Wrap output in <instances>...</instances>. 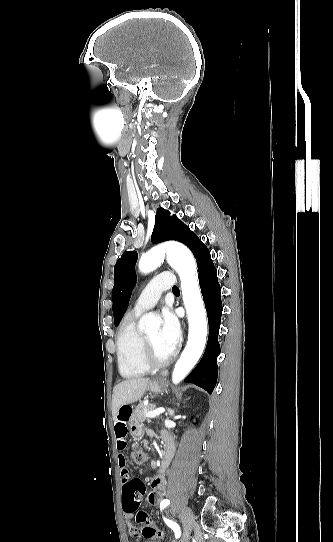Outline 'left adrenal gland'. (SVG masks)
Segmentation results:
<instances>
[{"mask_svg": "<svg viewBox=\"0 0 333 542\" xmlns=\"http://www.w3.org/2000/svg\"><path fill=\"white\" fill-rule=\"evenodd\" d=\"M168 412H169L170 416H175L174 410H170V408H169Z\"/></svg>", "mask_w": 333, "mask_h": 542, "instance_id": "left-adrenal-gland-1", "label": "left adrenal gland"}]
</instances>
